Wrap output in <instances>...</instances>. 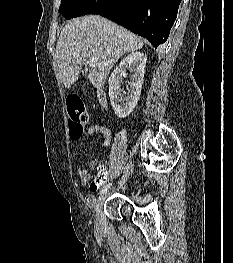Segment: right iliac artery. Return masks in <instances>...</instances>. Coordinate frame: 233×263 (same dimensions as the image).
I'll use <instances>...</instances> for the list:
<instances>
[{"label": "right iliac artery", "mask_w": 233, "mask_h": 263, "mask_svg": "<svg viewBox=\"0 0 233 263\" xmlns=\"http://www.w3.org/2000/svg\"><path fill=\"white\" fill-rule=\"evenodd\" d=\"M110 186H111V183L108 184V185H105V186L101 189L100 193L103 194L104 192H106V191L110 188Z\"/></svg>", "instance_id": "1"}]
</instances>
